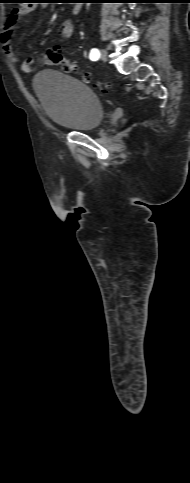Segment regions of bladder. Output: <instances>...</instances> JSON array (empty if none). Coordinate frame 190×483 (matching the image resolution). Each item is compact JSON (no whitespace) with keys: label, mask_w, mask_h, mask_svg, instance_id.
Instances as JSON below:
<instances>
[{"label":"bladder","mask_w":190,"mask_h":483,"mask_svg":"<svg viewBox=\"0 0 190 483\" xmlns=\"http://www.w3.org/2000/svg\"><path fill=\"white\" fill-rule=\"evenodd\" d=\"M33 89L47 117L69 131L98 128L104 118L99 97L86 84L54 70H44L33 79Z\"/></svg>","instance_id":"obj_1"}]
</instances>
